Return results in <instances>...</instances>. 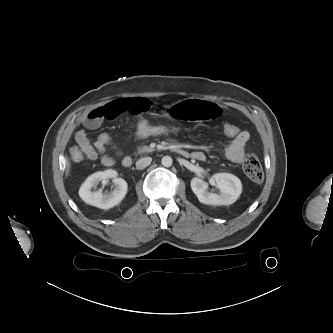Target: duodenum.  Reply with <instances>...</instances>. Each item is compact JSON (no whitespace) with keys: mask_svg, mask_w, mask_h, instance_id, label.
Returning <instances> with one entry per match:
<instances>
[{"mask_svg":"<svg viewBox=\"0 0 333 333\" xmlns=\"http://www.w3.org/2000/svg\"><path fill=\"white\" fill-rule=\"evenodd\" d=\"M175 151H177L178 153L182 154V155H186V152L182 149L179 148H175ZM132 164V159L129 156H126L123 158L122 160V165L126 168L130 167Z\"/></svg>","mask_w":333,"mask_h":333,"instance_id":"duodenum-1","label":"duodenum"}]
</instances>
